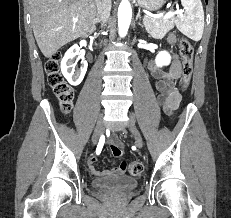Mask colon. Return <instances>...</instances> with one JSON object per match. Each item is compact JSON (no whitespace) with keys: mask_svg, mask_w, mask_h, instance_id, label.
<instances>
[{"mask_svg":"<svg viewBox=\"0 0 231 218\" xmlns=\"http://www.w3.org/2000/svg\"><path fill=\"white\" fill-rule=\"evenodd\" d=\"M193 46L191 42L182 37L179 42V53L182 59V77L181 82L184 88H187L193 69ZM61 54H54L45 64V70L48 76V83L52 87L55 95L58 97L63 112L67 113L71 110L73 100V90L67 84L60 72ZM110 151L114 157H121L123 150L119 145L111 144ZM124 168L130 175L137 176L141 174L143 166L138 161L122 162Z\"/></svg>","mask_w":231,"mask_h":218,"instance_id":"5ec220e1","label":"colon"}]
</instances>
